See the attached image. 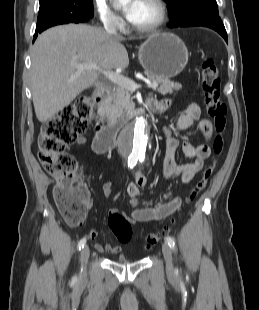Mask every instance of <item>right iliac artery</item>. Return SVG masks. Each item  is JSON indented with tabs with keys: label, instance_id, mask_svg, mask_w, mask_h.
<instances>
[{
	"label": "right iliac artery",
	"instance_id": "obj_1",
	"mask_svg": "<svg viewBox=\"0 0 259 310\" xmlns=\"http://www.w3.org/2000/svg\"><path fill=\"white\" fill-rule=\"evenodd\" d=\"M137 163V160H129L128 161V167L129 168H133ZM86 244V238H82L79 243H78V246H77V249L78 250H81ZM74 280H76V277H74Z\"/></svg>",
	"mask_w": 259,
	"mask_h": 310
}]
</instances>
